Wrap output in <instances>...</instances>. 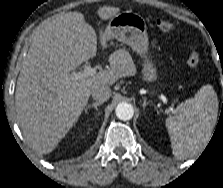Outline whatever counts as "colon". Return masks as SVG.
Masks as SVG:
<instances>
[{
    "mask_svg": "<svg viewBox=\"0 0 223 188\" xmlns=\"http://www.w3.org/2000/svg\"><path fill=\"white\" fill-rule=\"evenodd\" d=\"M157 28L164 32V33H170L174 30V24L173 22L166 20V19H158L155 22ZM200 63V56L196 51H192L187 59V64L189 67H197Z\"/></svg>",
    "mask_w": 223,
    "mask_h": 188,
    "instance_id": "obj_1",
    "label": "colon"
}]
</instances>
